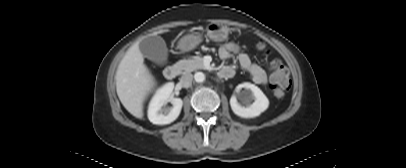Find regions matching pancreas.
<instances>
[{
    "mask_svg": "<svg viewBox=\"0 0 406 168\" xmlns=\"http://www.w3.org/2000/svg\"><path fill=\"white\" fill-rule=\"evenodd\" d=\"M179 68L184 71V73L192 72L197 69H203L204 63L201 58H194L189 60H181L177 63Z\"/></svg>",
    "mask_w": 406,
    "mask_h": 168,
    "instance_id": "cf45deb5",
    "label": "pancreas"
}]
</instances>
